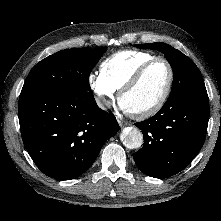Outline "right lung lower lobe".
Returning a JSON list of instances; mask_svg holds the SVG:
<instances>
[{"mask_svg":"<svg viewBox=\"0 0 221 221\" xmlns=\"http://www.w3.org/2000/svg\"><path fill=\"white\" fill-rule=\"evenodd\" d=\"M19 123L34 163L60 180L83 174L119 130L116 118L97 106L92 93L20 98Z\"/></svg>","mask_w":221,"mask_h":221,"instance_id":"right-lung-lower-lobe-1","label":"right lung lower lobe"}]
</instances>
